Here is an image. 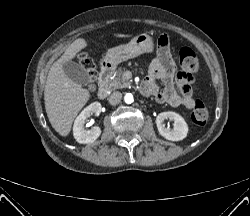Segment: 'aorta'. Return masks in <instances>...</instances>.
<instances>
[{
  "instance_id": "1",
  "label": "aorta",
  "mask_w": 250,
  "mask_h": 216,
  "mask_svg": "<svg viewBox=\"0 0 250 216\" xmlns=\"http://www.w3.org/2000/svg\"><path fill=\"white\" fill-rule=\"evenodd\" d=\"M124 101L127 104H131L133 102V95L130 93H127L124 97Z\"/></svg>"
}]
</instances>
